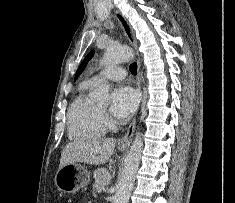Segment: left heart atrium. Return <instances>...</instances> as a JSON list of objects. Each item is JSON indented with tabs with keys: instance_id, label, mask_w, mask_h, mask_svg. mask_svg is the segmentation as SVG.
I'll return each instance as SVG.
<instances>
[{
	"instance_id": "left-heart-atrium-1",
	"label": "left heart atrium",
	"mask_w": 235,
	"mask_h": 203,
	"mask_svg": "<svg viewBox=\"0 0 235 203\" xmlns=\"http://www.w3.org/2000/svg\"><path fill=\"white\" fill-rule=\"evenodd\" d=\"M139 103L138 92L130 86H119L112 94L111 113L117 119H126L133 114Z\"/></svg>"
}]
</instances>
